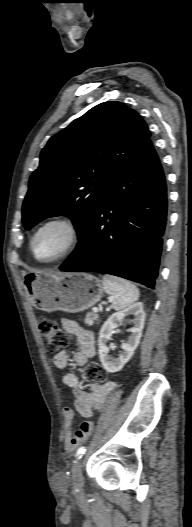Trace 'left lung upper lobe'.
<instances>
[{
  "mask_svg": "<svg viewBox=\"0 0 192 527\" xmlns=\"http://www.w3.org/2000/svg\"><path fill=\"white\" fill-rule=\"evenodd\" d=\"M150 135L139 114L121 102L101 103L74 120L40 154L23 203L24 227L65 215L80 238L111 183Z\"/></svg>",
  "mask_w": 192,
  "mask_h": 527,
  "instance_id": "left-lung-upper-lobe-1",
  "label": "left lung upper lobe"
}]
</instances>
